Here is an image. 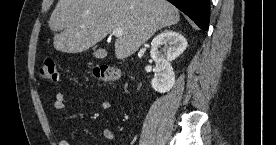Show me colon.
Here are the masks:
<instances>
[{
    "label": "colon",
    "instance_id": "colon-1",
    "mask_svg": "<svg viewBox=\"0 0 276 145\" xmlns=\"http://www.w3.org/2000/svg\"><path fill=\"white\" fill-rule=\"evenodd\" d=\"M93 75L96 79L104 82H114L121 78L118 70L107 66H96L93 69ZM39 78L44 81L57 82L59 73L55 60L46 59L39 68Z\"/></svg>",
    "mask_w": 276,
    "mask_h": 145
}]
</instances>
